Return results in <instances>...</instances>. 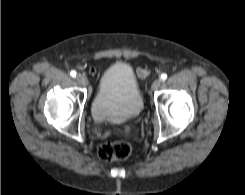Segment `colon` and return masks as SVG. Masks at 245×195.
<instances>
[{
    "mask_svg": "<svg viewBox=\"0 0 245 195\" xmlns=\"http://www.w3.org/2000/svg\"><path fill=\"white\" fill-rule=\"evenodd\" d=\"M127 133V131L125 130ZM132 151V145L127 140H119L103 144L99 150V157L107 162H115L126 159Z\"/></svg>",
    "mask_w": 245,
    "mask_h": 195,
    "instance_id": "obj_1",
    "label": "colon"
}]
</instances>
